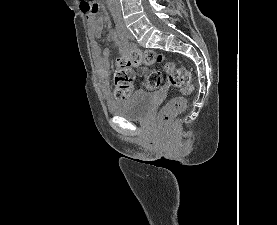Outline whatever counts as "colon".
Returning a JSON list of instances; mask_svg holds the SVG:
<instances>
[{"instance_id":"5ec220e1","label":"colon","mask_w":277,"mask_h":225,"mask_svg":"<svg viewBox=\"0 0 277 225\" xmlns=\"http://www.w3.org/2000/svg\"><path fill=\"white\" fill-rule=\"evenodd\" d=\"M80 7L86 14H95L99 6L93 0H81ZM163 64L171 86L181 90V95L171 99L161 109L158 122L162 129L167 128L170 120L184 111L187 105L186 97L193 92L190 72L176 64L167 62L164 55L149 49L134 50L126 55L116 59V68L114 73L115 97L119 100H125L130 97L134 89L135 74L133 67L145 65L152 66ZM165 80L164 73L160 70H151L146 74L145 87L150 91L160 89Z\"/></svg>"}]
</instances>
